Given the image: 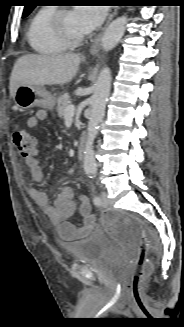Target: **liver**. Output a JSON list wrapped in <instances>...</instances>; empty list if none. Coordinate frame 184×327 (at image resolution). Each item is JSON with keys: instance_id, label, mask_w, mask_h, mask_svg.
Returning <instances> with one entry per match:
<instances>
[{"instance_id": "6515ba94", "label": "liver", "mask_w": 184, "mask_h": 327, "mask_svg": "<svg viewBox=\"0 0 184 327\" xmlns=\"http://www.w3.org/2000/svg\"><path fill=\"white\" fill-rule=\"evenodd\" d=\"M80 55L74 53L54 55H23L15 62L9 83L10 96L14 97L19 85H63L76 75Z\"/></svg>"}]
</instances>
